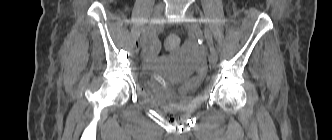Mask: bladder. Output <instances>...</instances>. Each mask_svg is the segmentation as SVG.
I'll use <instances>...</instances> for the list:
<instances>
[{"instance_id":"1","label":"bladder","mask_w":332,"mask_h":140,"mask_svg":"<svg viewBox=\"0 0 332 140\" xmlns=\"http://www.w3.org/2000/svg\"><path fill=\"white\" fill-rule=\"evenodd\" d=\"M202 82L201 78L188 79L176 92L163 91L154 87L151 89L153 97L160 107L170 111H180L191 102Z\"/></svg>"}]
</instances>
